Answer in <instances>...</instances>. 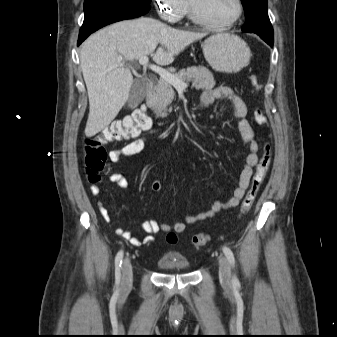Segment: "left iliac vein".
Segmentation results:
<instances>
[{"label":"left iliac vein","mask_w":337,"mask_h":337,"mask_svg":"<svg viewBox=\"0 0 337 337\" xmlns=\"http://www.w3.org/2000/svg\"><path fill=\"white\" fill-rule=\"evenodd\" d=\"M219 278L224 286L231 285V269L228 260L224 256L219 257Z\"/></svg>","instance_id":"4c4485c4"}]
</instances>
